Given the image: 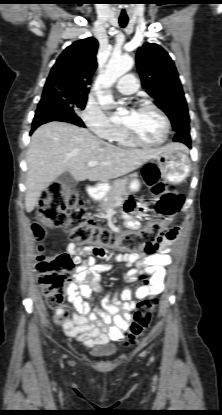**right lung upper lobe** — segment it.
Returning <instances> with one entry per match:
<instances>
[{"label": "right lung upper lobe", "mask_w": 222, "mask_h": 415, "mask_svg": "<svg viewBox=\"0 0 222 415\" xmlns=\"http://www.w3.org/2000/svg\"><path fill=\"white\" fill-rule=\"evenodd\" d=\"M98 41L89 37L68 46L52 67L44 86V97L70 91L87 95L91 77L97 68Z\"/></svg>", "instance_id": "1"}]
</instances>
